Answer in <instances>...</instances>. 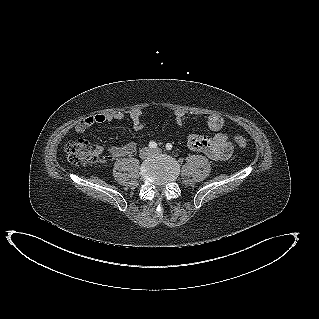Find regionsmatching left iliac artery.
Instances as JSON below:
<instances>
[{"label":"left iliac artery","instance_id":"44dca946","mask_svg":"<svg viewBox=\"0 0 319 319\" xmlns=\"http://www.w3.org/2000/svg\"><path fill=\"white\" fill-rule=\"evenodd\" d=\"M165 148H166V150H171L172 149V144L171 143H167Z\"/></svg>","mask_w":319,"mask_h":319}]
</instances>
